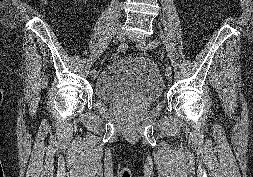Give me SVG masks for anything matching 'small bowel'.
<instances>
[{
    "label": "small bowel",
    "instance_id": "1",
    "mask_svg": "<svg viewBox=\"0 0 253 177\" xmlns=\"http://www.w3.org/2000/svg\"><path fill=\"white\" fill-rule=\"evenodd\" d=\"M40 2L44 3L43 0H39Z\"/></svg>",
    "mask_w": 253,
    "mask_h": 177
}]
</instances>
